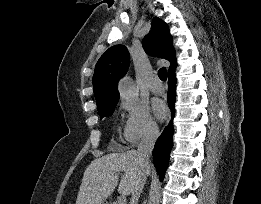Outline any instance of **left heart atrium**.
<instances>
[{
    "label": "left heart atrium",
    "mask_w": 261,
    "mask_h": 204,
    "mask_svg": "<svg viewBox=\"0 0 261 204\" xmlns=\"http://www.w3.org/2000/svg\"><path fill=\"white\" fill-rule=\"evenodd\" d=\"M152 107H153V112L158 119L160 120L166 119V117L168 116V108L162 100L155 99L153 101Z\"/></svg>",
    "instance_id": "1"
}]
</instances>
